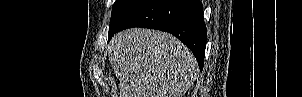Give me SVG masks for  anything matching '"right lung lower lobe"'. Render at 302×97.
Segmentation results:
<instances>
[{
    "instance_id": "right-lung-lower-lobe-1",
    "label": "right lung lower lobe",
    "mask_w": 302,
    "mask_h": 97,
    "mask_svg": "<svg viewBox=\"0 0 302 97\" xmlns=\"http://www.w3.org/2000/svg\"><path fill=\"white\" fill-rule=\"evenodd\" d=\"M144 27L169 32L194 54L203 69L207 30L203 6L199 0H145L115 30L111 37L126 28Z\"/></svg>"
}]
</instances>
